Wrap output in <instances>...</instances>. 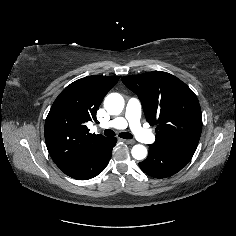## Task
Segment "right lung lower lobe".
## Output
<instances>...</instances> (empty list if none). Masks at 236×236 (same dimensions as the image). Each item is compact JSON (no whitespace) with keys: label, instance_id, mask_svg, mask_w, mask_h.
<instances>
[{"label":"right lung lower lobe","instance_id":"obj_1","mask_svg":"<svg viewBox=\"0 0 236 236\" xmlns=\"http://www.w3.org/2000/svg\"><path fill=\"white\" fill-rule=\"evenodd\" d=\"M117 139L106 138L95 150L68 176L77 180H87L98 175L107 165L112 156V149Z\"/></svg>","mask_w":236,"mask_h":236}]
</instances>
